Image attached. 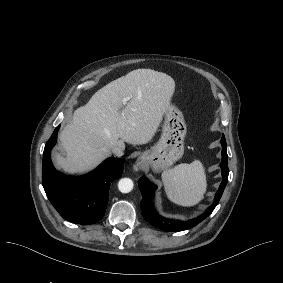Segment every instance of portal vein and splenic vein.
Segmentation results:
<instances>
[{
    "mask_svg": "<svg viewBox=\"0 0 283 283\" xmlns=\"http://www.w3.org/2000/svg\"><path fill=\"white\" fill-rule=\"evenodd\" d=\"M128 101V98H122L121 100H120V103L122 104V105H125V103Z\"/></svg>",
    "mask_w": 283,
    "mask_h": 283,
    "instance_id": "obj_1",
    "label": "portal vein and splenic vein"
}]
</instances>
